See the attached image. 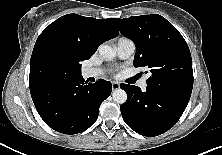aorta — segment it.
<instances>
[{
  "instance_id": "1",
  "label": "aorta",
  "mask_w": 222,
  "mask_h": 155,
  "mask_svg": "<svg viewBox=\"0 0 222 155\" xmlns=\"http://www.w3.org/2000/svg\"><path fill=\"white\" fill-rule=\"evenodd\" d=\"M99 54L106 60H111L116 56V51L109 45H101L99 47ZM112 98L114 102L123 104L127 100V93L123 89L119 88L113 92Z\"/></svg>"
}]
</instances>
